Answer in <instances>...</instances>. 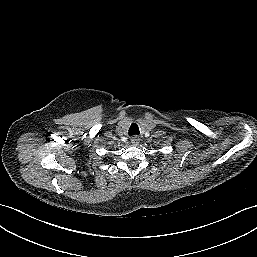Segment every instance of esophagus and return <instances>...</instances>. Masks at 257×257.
Returning <instances> with one entry per match:
<instances>
[{"instance_id": "34e87169", "label": "esophagus", "mask_w": 257, "mask_h": 257, "mask_svg": "<svg viewBox=\"0 0 257 257\" xmlns=\"http://www.w3.org/2000/svg\"><path fill=\"white\" fill-rule=\"evenodd\" d=\"M139 142H140L139 136L135 135V136H133V137L131 138V143H132V145H138Z\"/></svg>"}]
</instances>
